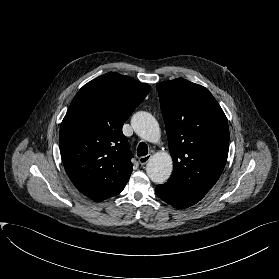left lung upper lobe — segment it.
<instances>
[{"mask_svg":"<svg viewBox=\"0 0 279 279\" xmlns=\"http://www.w3.org/2000/svg\"><path fill=\"white\" fill-rule=\"evenodd\" d=\"M174 169L168 182L205 195L229 150L227 118L205 87L183 78L157 85Z\"/></svg>","mask_w":279,"mask_h":279,"instance_id":"obj_1","label":"left lung upper lobe"}]
</instances>
